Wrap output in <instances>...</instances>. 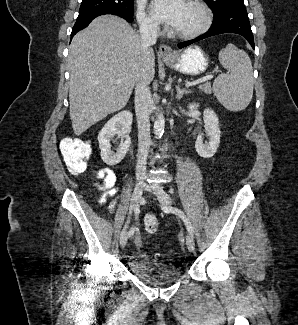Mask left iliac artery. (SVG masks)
I'll list each match as a JSON object with an SVG mask.
<instances>
[{
  "instance_id": "44dca946",
  "label": "left iliac artery",
  "mask_w": 298,
  "mask_h": 325,
  "mask_svg": "<svg viewBox=\"0 0 298 325\" xmlns=\"http://www.w3.org/2000/svg\"><path fill=\"white\" fill-rule=\"evenodd\" d=\"M162 209L165 212H171V213H174V214L178 215L183 220V222L185 223V225L187 227V230L193 235L192 225H191L190 221L188 220V218L186 217V215L184 214V212H182L178 208L171 207V206H162Z\"/></svg>"
}]
</instances>
